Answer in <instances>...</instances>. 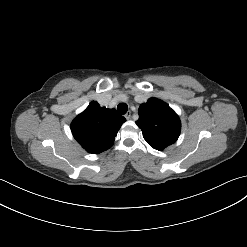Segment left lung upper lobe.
I'll use <instances>...</instances> for the list:
<instances>
[{"label":"left lung upper lobe","instance_id":"5c2ea615","mask_svg":"<svg viewBox=\"0 0 247 247\" xmlns=\"http://www.w3.org/2000/svg\"><path fill=\"white\" fill-rule=\"evenodd\" d=\"M139 120L144 139L157 150L175 143L180 135L181 122L178 115L165 102L150 98L139 107Z\"/></svg>","mask_w":247,"mask_h":247}]
</instances>
